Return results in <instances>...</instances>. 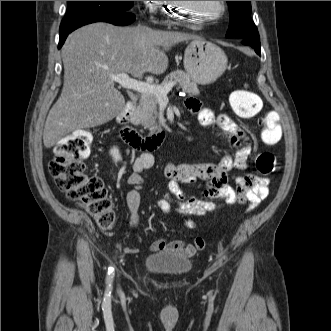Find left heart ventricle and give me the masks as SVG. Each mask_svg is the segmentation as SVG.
Here are the masks:
<instances>
[{
  "instance_id": "b2bd125f",
  "label": "left heart ventricle",
  "mask_w": 331,
  "mask_h": 331,
  "mask_svg": "<svg viewBox=\"0 0 331 331\" xmlns=\"http://www.w3.org/2000/svg\"><path fill=\"white\" fill-rule=\"evenodd\" d=\"M186 7L182 11L186 19H203L216 14L219 1H185Z\"/></svg>"
}]
</instances>
